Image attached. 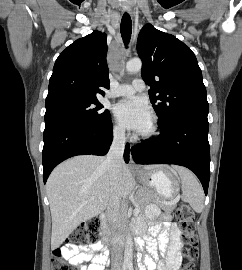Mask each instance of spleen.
Wrapping results in <instances>:
<instances>
[{"label": "spleen", "instance_id": "obj_1", "mask_svg": "<svg viewBox=\"0 0 242 270\" xmlns=\"http://www.w3.org/2000/svg\"><path fill=\"white\" fill-rule=\"evenodd\" d=\"M174 169L180 176L182 184V199L190 204L198 213L204 207V193L196 177L186 168L175 166Z\"/></svg>", "mask_w": 242, "mask_h": 270}]
</instances>
